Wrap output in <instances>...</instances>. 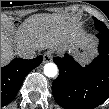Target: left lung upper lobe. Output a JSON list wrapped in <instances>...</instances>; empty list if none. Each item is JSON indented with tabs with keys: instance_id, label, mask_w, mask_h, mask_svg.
<instances>
[{
	"instance_id": "obj_1",
	"label": "left lung upper lobe",
	"mask_w": 109,
	"mask_h": 109,
	"mask_svg": "<svg viewBox=\"0 0 109 109\" xmlns=\"http://www.w3.org/2000/svg\"><path fill=\"white\" fill-rule=\"evenodd\" d=\"M94 22H95V27L96 29L101 32V33H109L108 28L106 27V25L99 21L98 19L94 18Z\"/></svg>"
}]
</instances>
